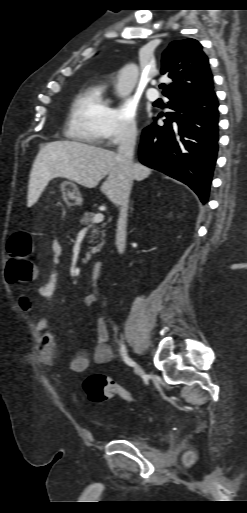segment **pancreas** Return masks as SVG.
I'll return each mask as SVG.
<instances>
[{"instance_id":"obj_1","label":"pancreas","mask_w":247,"mask_h":513,"mask_svg":"<svg viewBox=\"0 0 247 513\" xmlns=\"http://www.w3.org/2000/svg\"><path fill=\"white\" fill-rule=\"evenodd\" d=\"M95 216V213L93 212H84V214L79 218V223L81 225H87L89 223L92 222L93 220V217ZM104 225H101V228H103ZM101 228L97 227L95 228V226L92 227V231H91V239L93 240L95 238V236H98L99 234H101L102 237L105 236V231L102 230ZM102 248V244H99L96 248L93 249L92 252H98L100 251V249Z\"/></svg>"}]
</instances>
